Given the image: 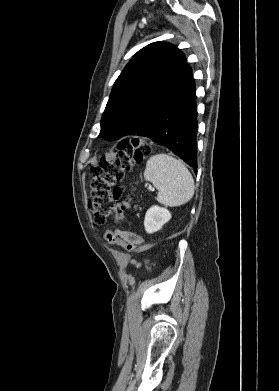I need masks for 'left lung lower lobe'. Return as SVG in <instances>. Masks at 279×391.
Instances as JSON below:
<instances>
[{
  "label": "left lung lower lobe",
  "mask_w": 279,
  "mask_h": 391,
  "mask_svg": "<svg viewBox=\"0 0 279 391\" xmlns=\"http://www.w3.org/2000/svg\"><path fill=\"white\" fill-rule=\"evenodd\" d=\"M137 135L166 146L196 169L197 106L194 80Z\"/></svg>",
  "instance_id": "left-lung-lower-lobe-1"
}]
</instances>
